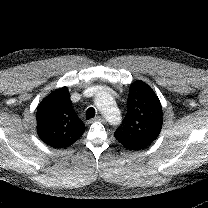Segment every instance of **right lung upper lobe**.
Instances as JSON below:
<instances>
[{"mask_svg":"<svg viewBox=\"0 0 208 208\" xmlns=\"http://www.w3.org/2000/svg\"><path fill=\"white\" fill-rule=\"evenodd\" d=\"M40 139L53 148H66L84 133L85 126L76 115L67 87L51 92L37 107Z\"/></svg>","mask_w":208,"mask_h":208,"instance_id":"right-lung-upper-lobe-1","label":"right lung upper lobe"}]
</instances>
